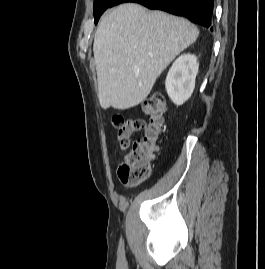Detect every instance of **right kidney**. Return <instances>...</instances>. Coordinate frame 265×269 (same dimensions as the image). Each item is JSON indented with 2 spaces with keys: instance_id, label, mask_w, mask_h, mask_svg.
<instances>
[{
  "instance_id": "1",
  "label": "right kidney",
  "mask_w": 265,
  "mask_h": 269,
  "mask_svg": "<svg viewBox=\"0 0 265 269\" xmlns=\"http://www.w3.org/2000/svg\"><path fill=\"white\" fill-rule=\"evenodd\" d=\"M198 69L195 55L184 54L175 60L165 81L167 94L174 104L182 105L191 97Z\"/></svg>"
}]
</instances>
